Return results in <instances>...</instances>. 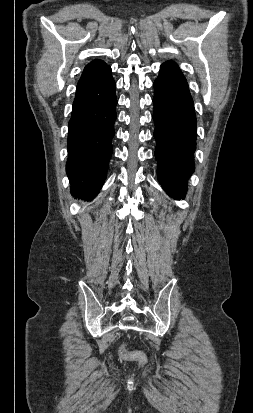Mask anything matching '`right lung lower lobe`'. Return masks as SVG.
I'll return each instance as SVG.
<instances>
[{
    "mask_svg": "<svg viewBox=\"0 0 253 413\" xmlns=\"http://www.w3.org/2000/svg\"><path fill=\"white\" fill-rule=\"evenodd\" d=\"M116 83L108 67L77 89L68 131L66 172L71 193L91 200L105 182L117 118Z\"/></svg>",
    "mask_w": 253,
    "mask_h": 413,
    "instance_id": "1",
    "label": "right lung lower lobe"
}]
</instances>
